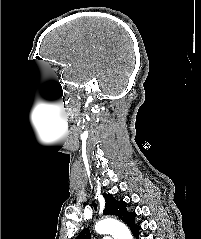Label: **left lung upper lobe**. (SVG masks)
<instances>
[{
  "instance_id": "1",
  "label": "left lung upper lobe",
  "mask_w": 201,
  "mask_h": 239,
  "mask_svg": "<svg viewBox=\"0 0 201 239\" xmlns=\"http://www.w3.org/2000/svg\"><path fill=\"white\" fill-rule=\"evenodd\" d=\"M105 197V208L103 210L104 215H112L121 218L132 229L136 224L134 218L136 213L128 212L126 209V202L117 201L111 194H103ZM96 207V204H94ZM76 239H91L90 230L88 228L83 229Z\"/></svg>"
}]
</instances>
